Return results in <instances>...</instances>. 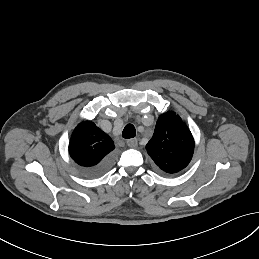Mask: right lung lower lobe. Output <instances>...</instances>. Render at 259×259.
<instances>
[{
  "label": "right lung lower lobe",
  "instance_id": "98d812e1",
  "mask_svg": "<svg viewBox=\"0 0 259 259\" xmlns=\"http://www.w3.org/2000/svg\"><path fill=\"white\" fill-rule=\"evenodd\" d=\"M113 156L108 155L100 163L91 167H80V172L86 177H97L107 172L113 164Z\"/></svg>",
  "mask_w": 259,
  "mask_h": 259
}]
</instances>
